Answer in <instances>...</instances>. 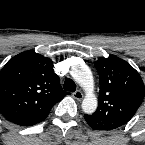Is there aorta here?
Returning <instances> with one entry per match:
<instances>
[{"label":"aorta","instance_id":"aorta-1","mask_svg":"<svg viewBox=\"0 0 145 145\" xmlns=\"http://www.w3.org/2000/svg\"><path fill=\"white\" fill-rule=\"evenodd\" d=\"M71 75L86 92V96L82 101L83 111L87 114L95 112L97 108V98L93 94L94 80L91 70L88 66L79 64L72 68Z\"/></svg>","mask_w":145,"mask_h":145}]
</instances>
